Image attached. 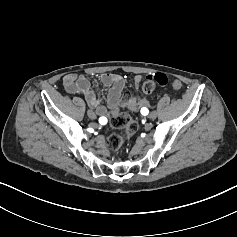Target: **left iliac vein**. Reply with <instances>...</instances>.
<instances>
[{
    "label": "left iliac vein",
    "mask_w": 237,
    "mask_h": 237,
    "mask_svg": "<svg viewBox=\"0 0 237 237\" xmlns=\"http://www.w3.org/2000/svg\"><path fill=\"white\" fill-rule=\"evenodd\" d=\"M156 117H157V112L156 111H153L149 114L150 119H155Z\"/></svg>",
    "instance_id": "obj_1"
}]
</instances>
